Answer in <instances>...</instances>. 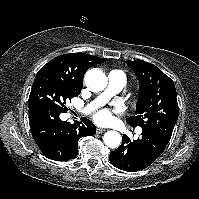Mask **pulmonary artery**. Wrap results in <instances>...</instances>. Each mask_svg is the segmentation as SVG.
<instances>
[{"label":"pulmonary artery","mask_w":199,"mask_h":199,"mask_svg":"<svg viewBox=\"0 0 199 199\" xmlns=\"http://www.w3.org/2000/svg\"><path fill=\"white\" fill-rule=\"evenodd\" d=\"M108 88L91 104H89L84 112L94 109L96 106L106 102L111 96L122 90L125 85V75L121 70H112L108 74Z\"/></svg>","instance_id":"1"}]
</instances>
